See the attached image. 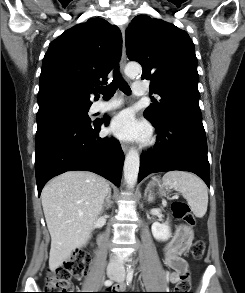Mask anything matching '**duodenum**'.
<instances>
[{
    "instance_id": "duodenum-1",
    "label": "duodenum",
    "mask_w": 245,
    "mask_h": 293,
    "mask_svg": "<svg viewBox=\"0 0 245 293\" xmlns=\"http://www.w3.org/2000/svg\"><path fill=\"white\" fill-rule=\"evenodd\" d=\"M102 239H103V235H99L97 240L100 243L102 241Z\"/></svg>"
}]
</instances>
